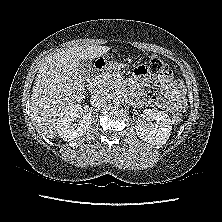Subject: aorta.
Masks as SVG:
<instances>
[{"label": "aorta", "mask_w": 222, "mask_h": 222, "mask_svg": "<svg viewBox=\"0 0 222 222\" xmlns=\"http://www.w3.org/2000/svg\"><path fill=\"white\" fill-rule=\"evenodd\" d=\"M123 99H121L120 97H116L113 99V104L115 107H119L122 103H123Z\"/></svg>", "instance_id": "1"}]
</instances>
